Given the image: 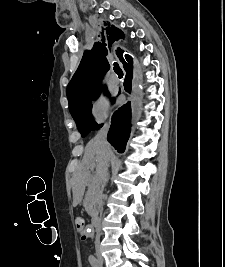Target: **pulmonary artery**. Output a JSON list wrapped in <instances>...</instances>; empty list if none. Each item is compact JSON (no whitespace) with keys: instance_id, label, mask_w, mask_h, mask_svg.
Here are the masks:
<instances>
[{"instance_id":"obj_1","label":"pulmonary artery","mask_w":225,"mask_h":267,"mask_svg":"<svg viewBox=\"0 0 225 267\" xmlns=\"http://www.w3.org/2000/svg\"><path fill=\"white\" fill-rule=\"evenodd\" d=\"M111 81L115 84H118L120 82L118 76L114 72H112L111 74Z\"/></svg>"}]
</instances>
